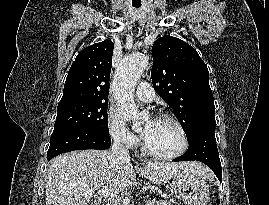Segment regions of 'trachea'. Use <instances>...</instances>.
<instances>
[{
    "instance_id": "obj_1",
    "label": "trachea",
    "mask_w": 269,
    "mask_h": 205,
    "mask_svg": "<svg viewBox=\"0 0 269 205\" xmlns=\"http://www.w3.org/2000/svg\"><path fill=\"white\" fill-rule=\"evenodd\" d=\"M134 7H135V8H139V7H141V6H140V5H134Z\"/></svg>"
}]
</instances>
